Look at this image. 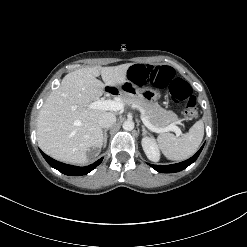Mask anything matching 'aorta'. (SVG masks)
Listing matches in <instances>:
<instances>
[{"label": "aorta", "mask_w": 247, "mask_h": 247, "mask_svg": "<svg viewBox=\"0 0 247 247\" xmlns=\"http://www.w3.org/2000/svg\"><path fill=\"white\" fill-rule=\"evenodd\" d=\"M123 129L125 131H131L134 129V122L132 120H126L124 123H123Z\"/></svg>", "instance_id": "aorta-1"}]
</instances>
